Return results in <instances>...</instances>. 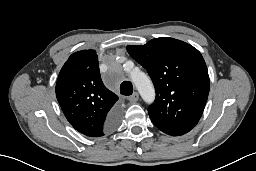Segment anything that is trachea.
I'll return each mask as SVG.
<instances>
[{
  "label": "trachea",
  "mask_w": 256,
  "mask_h": 171,
  "mask_svg": "<svg viewBox=\"0 0 256 171\" xmlns=\"http://www.w3.org/2000/svg\"><path fill=\"white\" fill-rule=\"evenodd\" d=\"M120 93L125 96H129L133 93V85L130 81H124L120 85Z\"/></svg>",
  "instance_id": "3493384b"
}]
</instances>
